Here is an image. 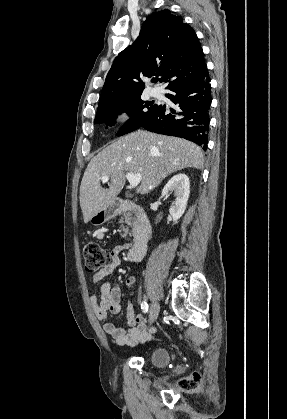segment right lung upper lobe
Listing matches in <instances>:
<instances>
[{"instance_id": "cb5924a9", "label": "right lung upper lobe", "mask_w": 287, "mask_h": 419, "mask_svg": "<svg viewBox=\"0 0 287 419\" xmlns=\"http://www.w3.org/2000/svg\"><path fill=\"white\" fill-rule=\"evenodd\" d=\"M206 71L203 50L192 27L169 10L157 12L143 23L134 44L115 58L98 109L140 97L145 88L143 77L160 74L169 87Z\"/></svg>"}]
</instances>
